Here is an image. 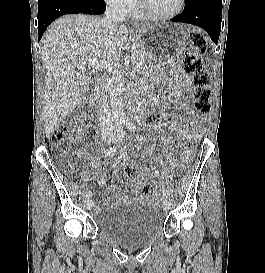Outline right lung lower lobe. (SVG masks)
Segmentation results:
<instances>
[{
  "label": "right lung lower lobe",
  "mask_w": 265,
  "mask_h": 273,
  "mask_svg": "<svg viewBox=\"0 0 265 273\" xmlns=\"http://www.w3.org/2000/svg\"><path fill=\"white\" fill-rule=\"evenodd\" d=\"M106 9L104 0H39L38 33L39 40L48 25L65 14H102Z\"/></svg>",
  "instance_id": "98d812e1"
}]
</instances>
